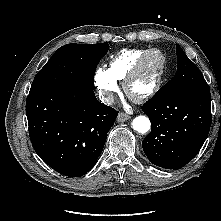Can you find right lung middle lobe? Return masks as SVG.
I'll list each match as a JSON object with an SVG mask.
<instances>
[{
  "label": "right lung middle lobe",
  "mask_w": 221,
  "mask_h": 221,
  "mask_svg": "<svg viewBox=\"0 0 221 221\" xmlns=\"http://www.w3.org/2000/svg\"><path fill=\"white\" fill-rule=\"evenodd\" d=\"M109 45L66 44L60 47L36 74L29 93L64 86H85L94 89V74Z\"/></svg>",
  "instance_id": "obj_1"
}]
</instances>
